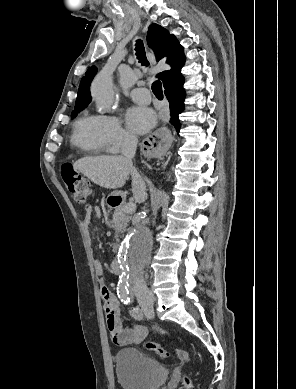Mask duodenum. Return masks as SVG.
I'll list each match as a JSON object with an SVG mask.
<instances>
[{
	"label": "duodenum",
	"instance_id": "1",
	"mask_svg": "<svg viewBox=\"0 0 296 389\" xmlns=\"http://www.w3.org/2000/svg\"><path fill=\"white\" fill-rule=\"evenodd\" d=\"M119 204V201H113L111 202V205L112 206H117ZM110 267H111V271L114 273V274H120L121 270H120V264L117 260H113L110 264Z\"/></svg>",
	"mask_w": 296,
	"mask_h": 389
}]
</instances>
